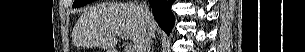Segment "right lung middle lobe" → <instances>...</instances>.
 Returning <instances> with one entry per match:
<instances>
[{
	"label": "right lung middle lobe",
	"mask_w": 305,
	"mask_h": 52,
	"mask_svg": "<svg viewBox=\"0 0 305 52\" xmlns=\"http://www.w3.org/2000/svg\"><path fill=\"white\" fill-rule=\"evenodd\" d=\"M93 0H75L74 4H73V7L76 8V7H81V6H84L90 2H92Z\"/></svg>",
	"instance_id": "right-lung-middle-lobe-1"
}]
</instances>
